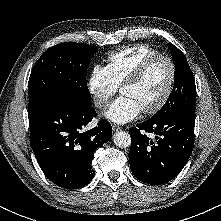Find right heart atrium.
<instances>
[{
	"mask_svg": "<svg viewBox=\"0 0 221 221\" xmlns=\"http://www.w3.org/2000/svg\"><path fill=\"white\" fill-rule=\"evenodd\" d=\"M87 87L97 108L107 106L110 98L116 93L117 85L114 83L106 66L94 65L87 79Z\"/></svg>",
	"mask_w": 221,
	"mask_h": 221,
	"instance_id": "d8ad5b80",
	"label": "right heart atrium"
}]
</instances>
